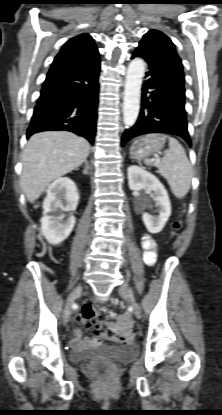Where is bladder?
I'll return each instance as SVG.
<instances>
[{
    "label": "bladder",
    "instance_id": "bladder-1",
    "mask_svg": "<svg viewBox=\"0 0 222 415\" xmlns=\"http://www.w3.org/2000/svg\"><path fill=\"white\" fill-rule=\"evenodd\" d=\"M138 353V345L127 342L121 345H101L89 348L72 347L69 357L73 362H84L100 356L117 362H126L135 359Z\"/></svg>",
    "mask_w": 222,
    "mask_h": 415
}]
</instances>
